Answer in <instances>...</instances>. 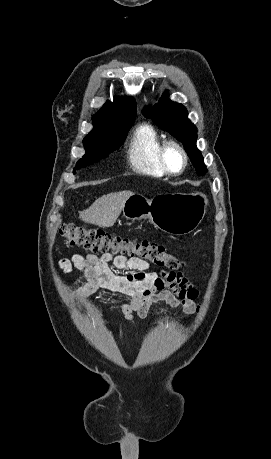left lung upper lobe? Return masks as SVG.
<instances>
[{
    "mask_svg": "<svg viewBox=\"0 0 271 459\" xmlns=\"http://www.w3.org/2000/svg\"><path fill=\"white\" fill-rule=\"evenodd\" d=\"M143 115L183 143L198 175L207 173L202 154L196 146V127L187 119V110L183 105L170 101L165 92L158 103L143 110Z\"/></svg>",
    "mask_w": 271,
    "mask_h": 459,
    "instance_id": "5c2ea615",
    "label": "left lung upper lobe"
}]
</instances>
